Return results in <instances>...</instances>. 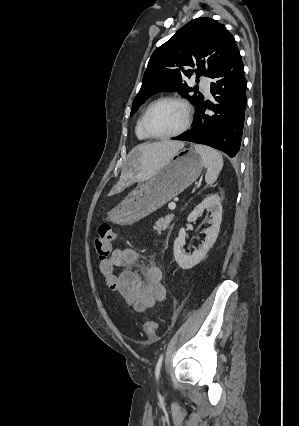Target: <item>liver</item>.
<instances>
[{"label": "liver", "instance_id": "6515ba94", "mask_svg": "<svg viewBox=\"0 0 299 426\" xmlns=\"http://www.w3.org/2000/svg\"><path fill=\"white\" fill-rule=\"evenodd\" d=\"M183 147V142L170 140L138 145L131 153L136 178L146 180L153 177Z\"/></svg>", "mask_w": 299, "mask_h": 426}]
</instances>
